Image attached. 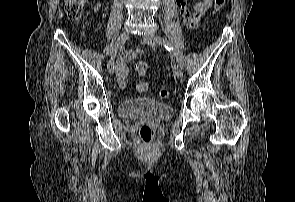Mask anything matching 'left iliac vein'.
<instances>
[{"mask_svg": "<svg viewBox=\"0 0 295 202\" xmlns=\"http://www.w3.org/2000/svg\"><path fill=\"white\" fill-rule=\"evenodd\" d=\"M143 41L148 44V45H151L152 47H155L159 44V42L157 41V37L151 33L149 34H145L143 36ZM176 76L179 78V79H182L183 78V71L177 67L176 69Z\"/></svg>", "mask_w": 295, "mask_h": 202, "instance_id": "1", "label": "left iliac vein"}]
</instances>
